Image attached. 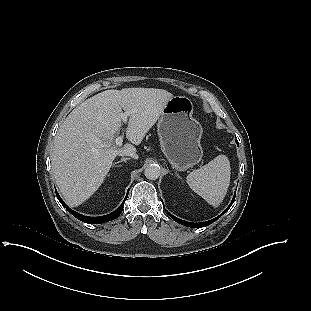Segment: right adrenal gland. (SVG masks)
Wrapping results in <instances>:
<instances>
[{"label":"right adrenal gland","instance_id":"1","mask_svg":"<svg viewBox=\"0 0 311 311\" xmlns=\"http://www.w3.org/2000/svg\"><path fill=\"white\" fill-rule=\"evenodd\" d=\"M127 160H129V158H124V157H123V158H121L120 161L114 163L113 166H115L116 164H119V163H121V162H125V163H126Z\"/></svg>","mask_w":311,"mask_h":311}]
</instances>
